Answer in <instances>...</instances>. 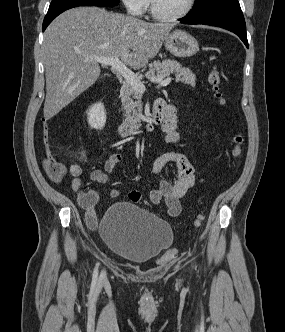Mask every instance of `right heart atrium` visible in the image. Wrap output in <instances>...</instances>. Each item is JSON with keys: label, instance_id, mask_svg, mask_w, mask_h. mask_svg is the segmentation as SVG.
<instances>
[{"label": "right heart atrium", "instance_id": "obj_1", "mask_svg": "<svg viewBox=\"0 0 285 332\" xmlns=\"http://www.w3.org/2000/svg\"><path fill=\"white\" fill-rule=\"evenodd\" d=\"M127 12L133 16L144 13L148 7L149 0H122Z\"/></svg>", "mask_w": 285, "mask_h": 332}]
</instances>
